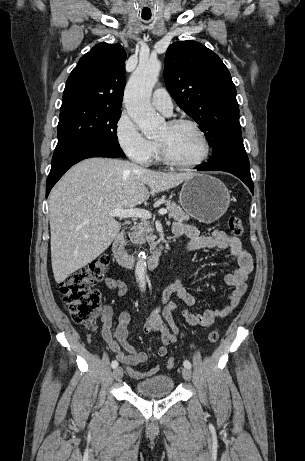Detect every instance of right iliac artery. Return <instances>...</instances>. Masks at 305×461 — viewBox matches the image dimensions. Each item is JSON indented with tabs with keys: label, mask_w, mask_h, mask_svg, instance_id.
Listing matches in <instances>:
<instances>
[{
	"label": "right iliac artery",
	"mask_w": 305,
	"mask_h": 461,
	"mask_svg": "<svg viewBox=\"0 0 305 461\" xmlns=\"http://www.w3.org/2000/svg\"><path fill=\"white\" fill-rule=\"evenodd\" d=\"M118 366V362L116 360H113L112 363H111V367L112 368H117Z\"/></svg>",
	"instance_id": "82829eb1"
}]
</instances>
